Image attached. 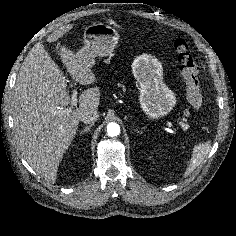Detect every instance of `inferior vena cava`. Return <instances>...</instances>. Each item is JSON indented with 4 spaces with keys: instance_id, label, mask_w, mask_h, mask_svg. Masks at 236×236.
Instances as JSON below:
<instances>
[{
    "instance_id": "1",
    "label": "inferior vena cava",
    "mask_w": 236,
    "mask_h": 236,
    "mask_svg": "<svg viewBox=\"0 0 236 236\" xmlns=\"http://www.w3.org/2000/svg\"><path fill=\"white\" fill-rule=\"evenodd\" d=\"M99 117V112L95 109H89L84 111L81 116L80 120L85 124H92L94 123Z\"/></svg>"
}]
</instances>
